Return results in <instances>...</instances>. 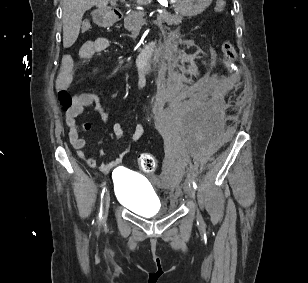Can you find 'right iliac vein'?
<instances>
[{
	"label": "right iliac vein",
	"instance_id": "1",
	"mask_svg": "<svg viewBox=\"0 0 308 283\" xmlns=\"http://www.w3.org/2000/svg\"><path fill=\"white\" fill-rule=\"evenodd\" d=\"M109 206H110V194L109 191H106L104 196L103 219H105L108 214Z\"/></svg>",
	"mask_w": 308,
	"mask_h": 283
}]
</instances>
